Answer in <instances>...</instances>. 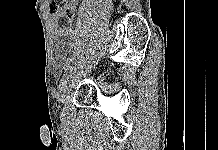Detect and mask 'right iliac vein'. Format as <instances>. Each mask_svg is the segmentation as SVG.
<instances>
[{
	"instance_id": "63e3f726",
	"label": "right iliac vein",
	"mask_w": 218,
	"mask_h": 150,
	"mask_svg": "<svg viewBox=\"0 0 218 150\" xmlns=\"http://www.w3.org/2000/svg\"><path fill=\"white\" fill-rule=\"evenodd\" d=\"M76 73L77 71L76 69H74L73 72H71L67 77H65L62 83L60 84L58 92L60 102H63L69 95L72 88L71 83L74 82V80L77 77Z\"/></svg>"
}]
</instances>
